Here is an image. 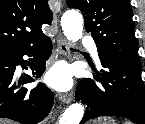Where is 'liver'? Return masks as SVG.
<instances>
[{"label":"liver","mask_w":145,"mask_h":124,"mask_svg":"<svg viewBox=\"0 0 145 124\" xmlns=\"http://www.w3.org/2000/svg\"><path fill=\"white\" fill-rule=\"evenodd\" d=\"M0 124H3L2 121H0ZM5 124V123H4Z\"/></svg>","instance_id":"1"}]
</instances>
